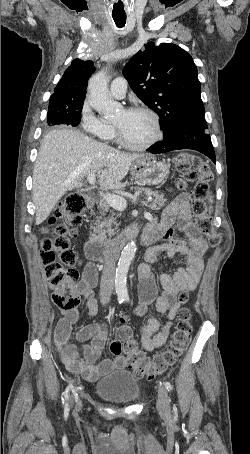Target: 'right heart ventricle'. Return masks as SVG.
<instances>
[{"mask_svg": "<svg viewBox=\"0 0 250 454\" xmlns=\"http://www.w3.org/2000/svg\"><path fill=\"white\" fill-rule=\"evenodd\" d=\"M101 137L106 140L113 139L115 137L114 128L112 126H109L108 129L105 131V133Z\"/></svg>", "mask_w": 250, "mask_h": 454, "instance_id": "right-heart-ventricle-1", "label": "right heart ventricle"}]
</instances>
